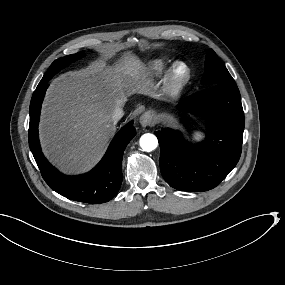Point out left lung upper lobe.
<instances>
[{"mask_svg":"<svg viewBox=\"0 0 285 285\" xmlns=\"http://www.w3.org/2000/svg\"><path fill=\"white\" fill-rule=\"evenodd\" d=\"M201 82L211 85L236 84L227 68L221 63L212 49L207 51L205 73Z\"/></svg>","mask_w":285,"mask_h":285,"instance_id":"1","label":"left lung upper lobe"}]
</instances>
